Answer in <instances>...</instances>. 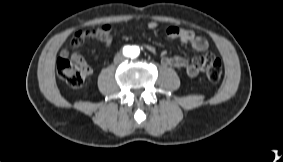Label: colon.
<instances>
[{
	"label": "colon",
	"mask_w": 283,
	"mask_h": 162,
	"mask_svg": "<svg viewBox=\"0 0 283 162\" xmlns=\"http://www.w3.org/2000/svg\"><path fill=\"white\" fill-rule=\"evenodd\" d=\"M58 76L71 87H80L84 84L90 73V68L81 60L61 56L56 62ZM207 79L218 82L222 76L223 65L220 59L207 57L204 62Z\"/></svg>",
	"instance_id": "1"
}]
</instances>
